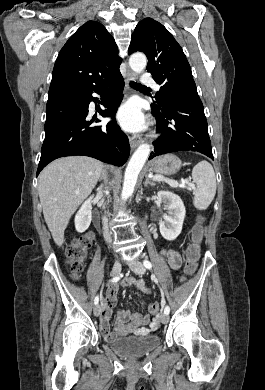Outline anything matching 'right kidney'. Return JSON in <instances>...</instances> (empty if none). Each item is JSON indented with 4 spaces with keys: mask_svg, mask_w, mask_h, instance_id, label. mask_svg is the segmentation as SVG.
<instances>
[{
    "mask_svg": "<svg viewBox=\"0 0 265 390\" xmlns=\"http://www.w3.org/2000/svg\"><path fill=\"white\" fill-rule=\"evenodd\" d=\"M92 220V197L87 199L75 216V228L82 233L88 229Z\"/></svg>",
    "mask_w": 265,
    "mask_h": 390,
    "instance_id": "right-kidney-1",
    "label": "right kidney"
}]
</instances>
